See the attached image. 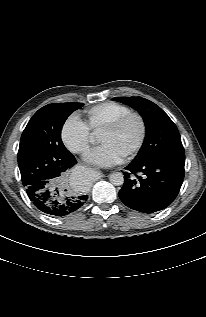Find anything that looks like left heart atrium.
Wrapping results in <instances>:
<instances>
[{
	"label": "left heart atrium",
	"instance_id": "obj_1",
	"mask_svg": "<svg viewBox=\"0 0 206 317\" xmlns=\"http://www.w3.org/2000/svg\"><path fill=\"white\" fill-rule=\"evenodd\" d=\"M125 155L112 145L103 143L86 155V159L101 166H112L123 161Z\"/></svg>",
	"mask_w": 206,
	"mask_h": 317
}]
</instances>
